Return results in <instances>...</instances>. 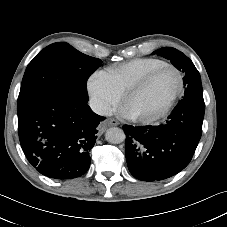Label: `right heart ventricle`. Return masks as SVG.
<instances>
[{"mask_svg": "<svg viewBox=\"0 0 227 227\" xmlns=\"http://www.w3.org/2000/svg\"><path fill=\"white\" fill-rule=\"evenodd\" d=\"M168 63L158 58H137L104 70L122 95L153 70Z\"/></svg>", "mask_w": 227, "mask_h": 227, "instance_id": "e07e8e85", "label": "right heart ventricle"}]
</instances>
